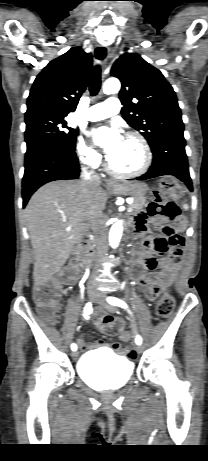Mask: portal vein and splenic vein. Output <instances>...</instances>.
<instances>
[{"label":"portal vein and splenic vein","instance_id":"portal-vein-and-splenic-vein-1","mask_svg":"<svg viewBox=\"0 0 208 461\" xmlns=\"http://www.w3.org/2000/svg\"><path fill=\"white\" fill-rule=\"evenodd\" d=\"M127 203L131 205L133 202L130 201V200H127ZM127 211H128V212H131V211H132V208L129 206L128 209H127Z\"/></svg>","mask_w":208,"mask_h":461}]
</instances>
